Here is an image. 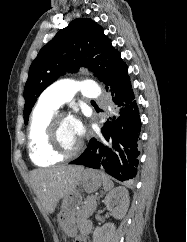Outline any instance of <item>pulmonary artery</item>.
Listing matches in <instances>:
<instances>
[{
    "mask_svg": "<svg viewBox=\"0 0 187 242\" xmlns=\"http://www.w3.org/2000/svg\"><path fill=\"white\" fill-rule=\"evenodd\" d=\"M77 92L84 97L97 98L100 94L98 85L91 80H60L49 86L41 95L40 102L54 109L68 102Z\"/></svg>",
    "mask_w": 187,
    "mask_h": 242,
    "instance_id": "1",
    "label": "pulmonary artery"
}]
</instances>
